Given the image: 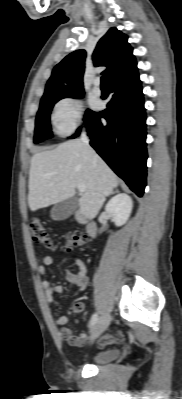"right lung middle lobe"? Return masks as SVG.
Masks as SVG:
<instances>
[{
  "label": "right lung middle lobe",
  "instance_id": "dd1d6c3e",
  "mask_svg": "<svg viewBox=\"0 0 182 399\" xmlns=\"http://www.w3.org/2000/svg\"><path fill=\"white\" fill-rule=\"evenodd\" d=\"M82 98V94H74V95H63L57 97H51L42 99L40 103V108L37 113L36 118V127H35V136L34 143L41 142L49 137H52L51 127H50V113L54 106V104L63 98ZM92 114V111L87 110L85 114V122L88 117Z\"/></svg>",
  "mask_w": 182,
  "mask_h": 399
}]
</instances>
